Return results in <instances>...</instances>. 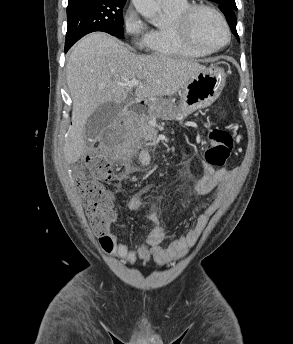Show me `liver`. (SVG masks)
<instances>
[{"instance_id":"liver-1","label":"liver","mask_w":293,"mask_h":344,"mask_svg":"<svg viewBox=\"0 0 293 344\" xmlns=\"http://www.w3.org/2000/svg\"><path fill=\"white\" fill-rule=\"evenodd\" d=\"M205 66L189 59L164 55H136L121 42L96 32L81 39L66 65V80L73 100L72 125L64 143L67 164L75 163L85 152L84 129L87 119L106 102L123 103L132 79L137 101L172 96Z\"/></svg>"}]
</instances>
